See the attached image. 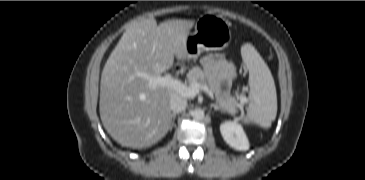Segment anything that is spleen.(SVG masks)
Segmentation results:
<instances>
[{
  "instance_id": "obj_1",
  "label": "spleen",
  "mask_w": 365,
  "mask_h": 180,
  "mask_svg": "<svg viewBox=\"0 0 365 180\" xmlns=\"http://www.w3.org/2000/svg\"><path fill=\"white\" fill-rule=\"evenodd\" d=\"M242 58L249 70V104L244 124L255 123L263 128L271 127L277 114V94L272 74L259 53L246 45Z\"/></svg>"
}]
</instances>
